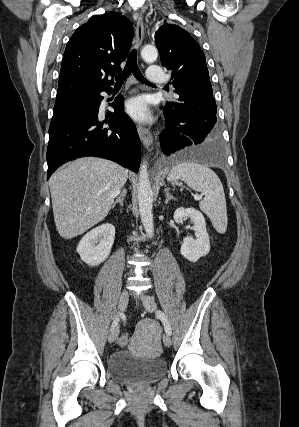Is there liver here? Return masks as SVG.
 <instances>
[{
  "label": "liver",
  "instance_id": "obj_1",
  "mask_svg": "<svg viewBox=\"0 0 299 427\" xmlns=\"http://www.w3.org/2000/svg\"><path fill=\"white\" fill-rule=\"evenodd\" d=\"M127 178L122 166L96 157L79 158L57 170L49 186L59 235L71 239L101 222Z\"/></svg>",
  "mask_w": 299,
  "mask_h": 427
}]
</instances>
